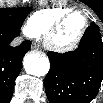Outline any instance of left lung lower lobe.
I'll use <instances>...</instances> for the list:
<instances>
[{
    "instance_id": "1",
    "label": "left lung lower lobe",
    "mask_w": 103,
    "mask_h": 103,
    "mask_svg": "<svg viewBox=\"0 0 103 103\" xmlns=\"http://www.w3.org/2000/svg\"><path fill=\"white\" fill-rule=\"evenodd\" d=\"M99 31L91 23L75 51L48 52L51 68L45 90L51 103H89L96 97L103 80V41Z\"/></svg>"
}]
</instances>
